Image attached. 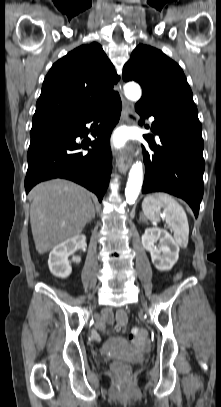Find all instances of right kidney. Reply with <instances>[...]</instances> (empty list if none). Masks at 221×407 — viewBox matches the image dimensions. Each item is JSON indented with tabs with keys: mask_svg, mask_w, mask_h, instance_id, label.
Wrapping results in <instances>:
<instances>
[{
	"mask_svg": "<svg viewBox=\"0 0 221 407\" xmlns=\"http://www.w3.org/2000/svg\"><path fill=\"white\" fill-rule=\"evenodd\" d=\"M85 245L86 236L82 234L76 235L56 245L49 254L48 266L50 272L56 277L67 278L72 272L68 257L75 249H83Z\"/></svg>",
	"mask_w": 221,
	"mask_h": 407,
	"instance_id": "obj_1",
	"label": "right kidney"
}]
</instances>
